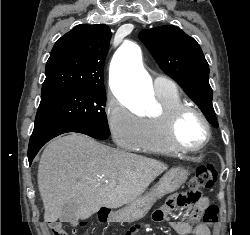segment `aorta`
Here are the masks:
<instances>
[{
    "label": "aorta",
    "instance_id": "762f6f07",
    "mask_svg": "<svg viewBox=\"0 0 250 235\" xmlns=\"http://www.w3.org/2000/svg\"><path fill=\"white\" fill-rule=\"evenodd\" d=\"M110 82L116 97L128 107L141 106L151 96L152 81L142 65L139 46L125 42L110 66Z\"/></svg>",
    "mask_w": 250,
    "mask_h": 235
}]
</instances>
